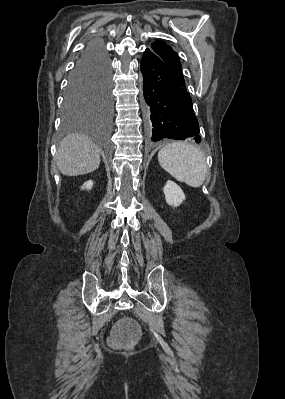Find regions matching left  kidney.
Masks as SVG:
<instances>
[{"label":"left kidney","instance_id":"left-kidney-1","mask_svg":"<svg viewBox=\"0 0 285 399\" xmlns=\"http://www.w3.org/2000/svg\"><path fill=\"white\" fill-rule=\"evenodd\" d=\"M165 200L170 206L177 207L185 200L182 189L173 181L168 180L164 187Z\"/></svg>","mask_w":285,"mask_h":399}]
</instances>
